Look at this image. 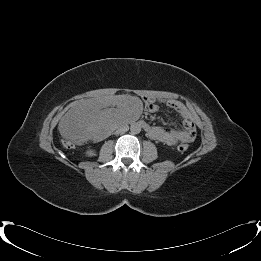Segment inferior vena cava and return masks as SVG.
<instances>
[{"label":"inferior vena cava","mask_w":261,"mask_h":261,"mask_svg":"<svg viewBox=\"0 0 261 261\" xmlns=\"http://www.w3.org/2000/svg\"><path fill=\"white\" fill-rule=\"evenodd\" d=\"M129 130V126L127 124H121L117 129V132L123 134Z\"/></svg>","instance_id":"1"}]
</instances>
